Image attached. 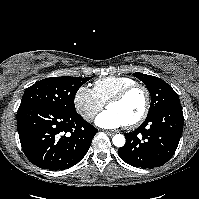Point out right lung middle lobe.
I'll use <instances>...</instances> for the list:
<instances>
[{
  "label": "right lung middle lobe",
  "instance_id": "obj_1",
  "mask_svg": "<svg viewBox=\"0 0 199 199\" xmlns=\"http://www.w3.org/2000/svg\"><path fill=\"white\" fill-rule=\"evenodd\" d=\"M91 77H52L28 87L20 107L43 105L64 113H76L74 97L78 89Z\"/></svg>",
  "mask_w": 199,
  "mask_h": 199
}]
</instances>
